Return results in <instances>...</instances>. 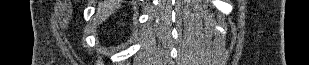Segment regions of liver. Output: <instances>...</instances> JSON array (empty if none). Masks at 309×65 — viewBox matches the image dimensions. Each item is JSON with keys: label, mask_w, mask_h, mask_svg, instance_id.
<instances>
[{"label": "liver", "mask_w": 309, "mask_h": 65, "mask_svg": "<svg viewBox=\"0 0 309 65\" xmlns=\"http://www.w3.org/2000/svg\"><path fill=\"white\" fill-rule=\"evenodd\" d=\"M121 0H104L98 5L97 23L105 21L113 11L119 6Z\"/></svg>", "instance_id": "6515ba94"}]
</instances>
